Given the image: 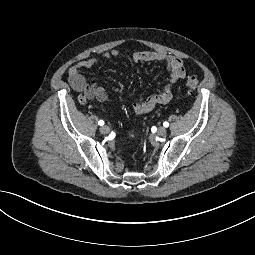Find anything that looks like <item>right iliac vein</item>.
Returning <instances> with one entry per match:
<instances>
[{"mask_svg": "<svg viewBox=\"0 0 255 255\" xmlns=\"http://www.w3.org/2000/svg\"><path fill=\"white\" fill-rule=\"evenodd\" d=\"M100 132L102 134H108L110 132V128L107 125L101 126L100 127Z\"/></svg>", "mask_w": 255, "mask_h": 255, "instance_id": "63e3f726", "label": "right iliac vein"}]
</instances>
